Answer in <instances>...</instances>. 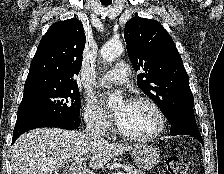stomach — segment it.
Instances as JSON below:
<instances>
[{
	"instance_id": "obj_1",
	"label": "stomach",
	"mask_w": 224,
	"mask_h": 174,
	"mask_svg": "<svg viewBox=\"0 0 224 174\" xmlns=\"http://www.w3.org/2000/svg\"><path fill=\"white\" fill-rule=\"evenodd\" d=\"M134 163L142 170L155 167L160 161V152L157 147L149 144H139L132 151Z\"/></svg>"
}]
</instances>
